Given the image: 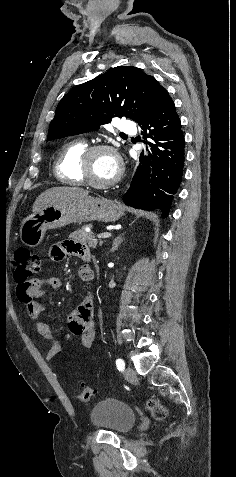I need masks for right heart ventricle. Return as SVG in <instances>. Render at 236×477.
<instances>
[{
    "instance_id": "right-heart-ventricle-1",
    "label": "right heart ventricle",
    "mask_w": 236,
    "mask_h": 477,
    "mask_svg": "<svg viewBox=\"0 0 236 477\" xmlns=\"http://www.w3.org/2000/svg\"><path fill=\"white\" fill-rule=\"evenodd\" d=\"M87 143L81 140L68 142L63 146L54 163L56 178L69 185H82L79 174V160L87 148Z\"/></svg>"
}]
</instances>
